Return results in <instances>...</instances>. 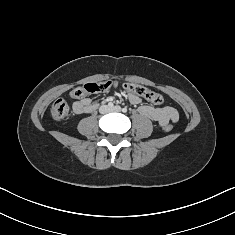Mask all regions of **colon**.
Wrapping results in <instances>:
<instances>
[{
    "label": "colon",
    "instance_id": "1",
    "mask_svg": "<svg viewBox=\"0 0 235 235\" xmlns=\"http://www.w3.org/2000/svg\"><path fill=\"white\" fill-rule=\"evenodd\" d=\"M117 85V82L113 80L88 82L82 86L74 88L70 92V96L74 99H81L88 94L106 92L116 87ZM122 88L126 92L142 97L153 104L160 105L164 102V97L161 94L142 85L135 83H124L122 85ZM69 111L70 108L68 103L62 98L57 99L51 107V114L55 120L65 119L68 116ZM164 130L166 132H170L172 130V126L170 124H167L164 127Z\"/></svg>",
    "mask_w": 235,
    "mask_h": 235
}]
</instances>
